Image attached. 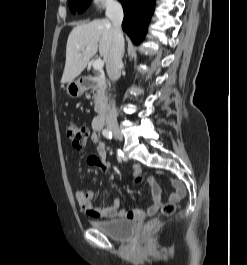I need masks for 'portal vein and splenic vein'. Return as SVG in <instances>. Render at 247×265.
<instances>
[{
	"label": "portal vein and splenic vein",
	"mask_w": 247,
	"mask_h": 265,
	"mask_svg": "<svg viewBox=\"0 0 247 265\" xmlns=\"http://www.w3.org/2000/svg\"><path fill=\"white\" fill-rule=\"evenodd\" d=\"M90 47H87V50H89ZM104 66V62L101 59H96L93 61V68L95 70H102Z\"/></svg>",
	"instance_id": "obj_1"
}]
</instances>
